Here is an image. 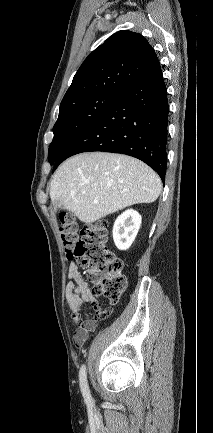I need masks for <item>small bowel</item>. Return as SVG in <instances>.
Here are the masks:
<instances>
[{
	"label": "small bowel",
	"mask_w": 213,
	"mask_h": 433,
	"mask_svg": "<svg viewBox=\"0 0 213 433\" xmlns=\"http://www.w3.org/2000/svg\"><path fill=\"white\" fill-rule=\"evenodd\" d=\"M69 282L65 287V296L67 304L71 312L80 314L85 304L96 303L97 299L92 294L86 281L83 279L78 267L72 264L68 270ZM96 329V322L93 320H85L84 326L77 329L74 334V342L77 346H82L91 332Z\"/></svg>",
	"instance_id": "small-bowel-1"
}]
</instances>
